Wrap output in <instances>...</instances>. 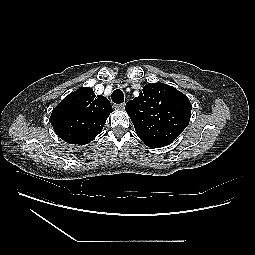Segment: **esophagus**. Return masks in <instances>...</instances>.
<instances>
[{
  "label": "esophagus",
  "mask_w": 255,
  "mask_h": 255,
  "mask_svg": "<svg viewBox=\"0 0 255 255\" xmlns=\"http://www.w3.org/2000/svg\"><path fill=\"white\" fill-rule=\"evenodd\" d=\"M114 107L117 108V109H124L125 108V103L114 104Z\"/></svg>",
  "instance_id": "34e87169"
}]
</instances>
